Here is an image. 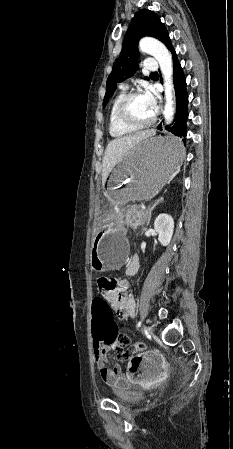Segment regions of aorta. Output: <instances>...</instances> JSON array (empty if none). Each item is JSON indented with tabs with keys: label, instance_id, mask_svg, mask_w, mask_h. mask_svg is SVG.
Segmentation results:
<instances>
[{
	"label": "aorta",
	"instance_id": "aorta-1",
	"mask_svg": "<svg viewBox=\"0 0 233 449\" xmlns=\"http://www.w3.org/2000/svg\"><path fill=\"white\" fill-rule=\"evenodd\" d=\"M139 48L143 53L155 57L160 65V70L164 80L166 99L164 118L166 124H170L174 117L172 57L167 48L161 42L153 38L146 37L141 39Z\"/></svg>",
	"mask_w": 233,
	"mask_h": 449
}]
</instances>
